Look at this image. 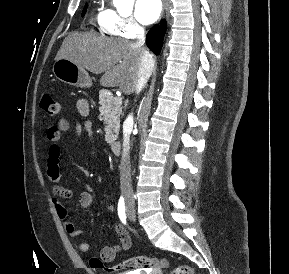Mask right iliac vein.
<instances>
[{"label":"right iliac vein","instance_id":"1","mask_svg":"<svg viewBox=\"0 0 289 274\" xmlns=\"http://www.w3.org/2000/svg\"><path fill=\"white\" fill-rule=\"evenodd\" d=\"M127 212L131 215V216H134V211L132 209V207L130 205H128L127 207Z\"/></svg>","mask_w":289,"mask_h":274}]
</instances>
